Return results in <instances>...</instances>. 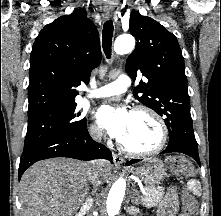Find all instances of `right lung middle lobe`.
Returning <instances> with one entry per match:
<instances>
[{"label":"right lung middle lobe","mask_w":221,"mask_h":216,"mask_svg":"<svg viewBox=\"0 0 221 216\" xmlns=\"http://www.w3.org/2000/svg\"><path fill=\"white\" fill-rule=\"evenodd\" d=\"M75 108L76 104H73L28 115V127L23 151L82 126L86 120L77 119L80 114L74 113Z\"/></svg>","instance_id":"right-lung-middle-lobe-1"}]
</instances>
